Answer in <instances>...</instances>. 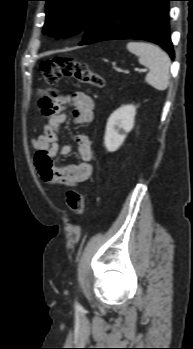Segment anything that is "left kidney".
<instances>
[{"label":"left kidney","instance_id":"1","mask_svg":"<svg viewBox=\"0 0 193 349\" xmlns=\"http://www.w3.org/2000/svg\"><path fill=\"white\" fill-rule=\"evenodd\" d=\"M135 115L134 105H123L110 115L104 136V144L109 152L116 151L123 144L126 134L134 127Z\"/></svg>","mask_w":193,"mask_h":349}]
</instances>
